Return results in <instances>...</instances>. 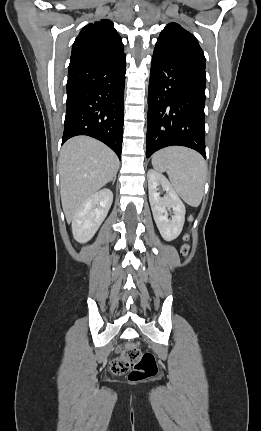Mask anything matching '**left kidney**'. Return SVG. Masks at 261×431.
Instances as JSON below:
<instances>
[{
	"label": "left kidney",
	"instance_id": "5707ae66",
	"mask_svg": "<svg viewBox=\"0 0 261 431\" xmlns=\"http://www.w3.org/2000/svg\"><path fill=\"white\" fill-rule=\"evenodd\" d=\"M147 177L149 201L154 220L161 236L166 241H172L182 231L186 213L185 206L164 175L151 169L148 171ZM159 185L166 191L164 197H160L157 188ZM168 209L173 211L172 219H168Z\"/></svg>",
	"mask_w": 261,
	"mask_h": 431
}]
</instances>
